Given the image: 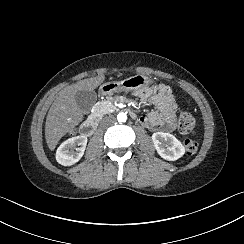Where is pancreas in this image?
<instances>
[{
    "instance_id": "1",
    "label": "pancreas",
    "mask_w": 244,
    "mask_h": 244,
    "mask_svg": "<svg viewBox=\"0 0 244 244\" xmlns=\"http://www.w3.org/2000/svg\"><path fill=\"white\" fill-rule=\"evenodd\" d=\"M99 107L105 110V113H108L111 111L112 109V104H111V100H103L99 103Z\"/></svg>"
}]
</instances>
